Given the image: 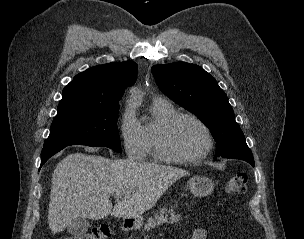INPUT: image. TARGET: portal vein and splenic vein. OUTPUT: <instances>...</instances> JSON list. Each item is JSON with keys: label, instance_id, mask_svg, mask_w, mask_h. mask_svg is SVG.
I'll return each instance as SVG.
<instances>
[{"label": "portal vein and splenic vein", "instance_id": "obj_1", "mask_svg": "<svg viewBox=\"0 0 304 239\" xmlns=\"http://www.w3.org/2000/svg\"><path fill=\"white\" fill-rule=\"evenodd\" d=\"M114 198L117 199V200H119V199L122 198V194H120V193L115 194V195H114Z\"/></svg>", "mask_w": 304, "mask_h": 239}]
</instances>
